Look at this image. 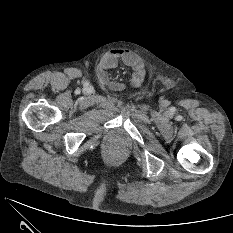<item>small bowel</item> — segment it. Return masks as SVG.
Wrapping results in <instances>:
<instances>
[{
  "mask_svg": "<svg viewBox=\"0 0 233 233\" xmlns=\"http://www.w3.org/2000/svg\"><path fill=\"white\" fill-rule=\"evenodd\" d=\"M119 61L133 70L130 79L131 87L141 86L146 76L144 64L136 54L127 49H114L107 53L98 66V72L101 75L105 74L108 70L116 68ZM109 86L114 91H122L126 88L125 84L119 82H111Z\"/></svg>",
  "mask_w": 233,
  "mask_h": 233,
  "instance_id": "small-bowel-1",
  "label": "small bowel"
}]
</instances>
